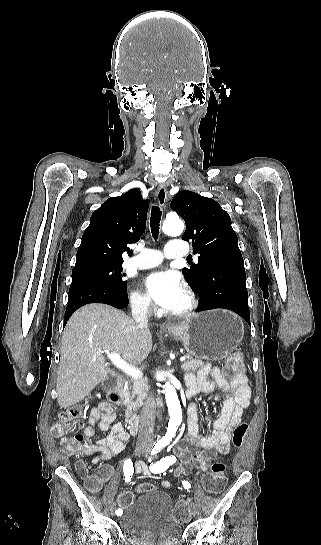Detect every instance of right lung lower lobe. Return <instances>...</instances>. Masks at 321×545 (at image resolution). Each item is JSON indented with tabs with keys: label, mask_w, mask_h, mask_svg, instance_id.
Wrapping results in <instances>:
<instances>
[{
	"label": "right lung lower lobe",
	"mask_w": 321,
	"mask_h": 545,
	"mask_svg": "<svg viewBox=\"0 0 321 545\" xmlns=\"http://www.w3.org/2000/svg\"><path fill=\"white\" fill-rule=\"evenodd\" d=\"M89 303H105L122 309L129 303L127 288L120 289L95 280H73L69 289L64 324L78 308Z\"/></svg>",
	"instance_id": "98d812e1"
}]
</instances>
